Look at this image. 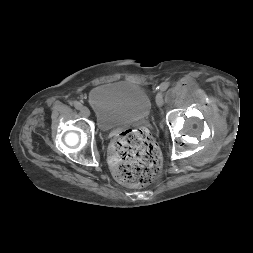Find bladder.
I'll list each match as a JSON object with an SVG mask.
<instances>
[{
    "label": "bladder",
    "instance_id": "1",
    "mask_svg": "<svg viewBox=\"0 0 253 253\" xmlns=\"http://www.w3.org/2000/svg\"><path fill=\"white\" fill-rule=\"evenodd\" d=\"M89 103L101 127L144 119L152 109L147 91L142 86L127 81L95 87L89 94Z\"/></svg>",
    "mask_w": 253,
    "mask_h": 253
}]
</instances>
